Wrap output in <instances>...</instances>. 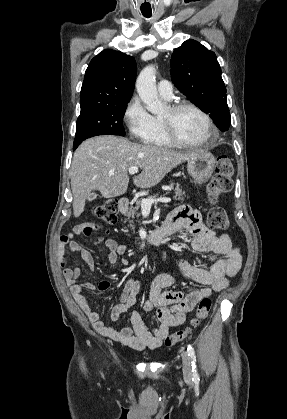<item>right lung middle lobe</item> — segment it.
<instances>
[{
    "instance_id": "right-lung-middle-lobe-1",
    "label": "right lung middle lobe",
    "mask_w": 287,
    "mask_h": 419,
    "mask_svg": "<svg viewBox=\"0 0 287 419\" xmlns=\"http://www.w3.org/2000/svg\"><path fill=\"white\" fill-rule=\"evenodd\" d=\"M128 102L101 105L81 111L76 122L73 149L85 139L97 135L125 136L123 117Z\"/></svg>"
}]
</instances>
